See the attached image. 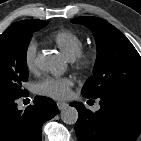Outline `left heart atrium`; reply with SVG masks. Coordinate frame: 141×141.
<instances>
[{
	"label": "left heart atrium",
	"instance_id": "1",
	"mask_svg": "<svg viewBox=\"0 0 141 141\" xmlns=\"http://www.w3.org/2000/svg\"><path fill=\"white\" fill-rule=\"evenodd\" d=\"M72 81L68 78L44 77L34 85L36 93L54 99H64L69 96Z\"/></svg>",
	"mask_w": 141,
	"mask_h": 141
}]
</instances>
